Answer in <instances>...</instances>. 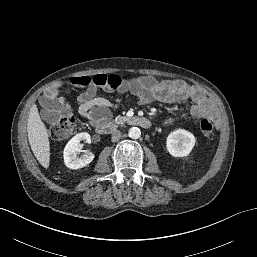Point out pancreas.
I'll list each match as a JSON object with an SVG mask.
<instances>
[{"label": "pancreas", "instance_id": "cf45deb5", "mask_svg": "<svg viewBox=\"0 0 257 257\" xmlns=\"http://www.w3.org/2000/svg\"><path fill=\"white\" fill-rule=\"evenodd\" d=\"M126 119H127V118H126L125 116H118V117H116L115 122H116L117 124H121V123H123Z\"/></svg>", "mask_w": 257, "mask_h": 257}]
</instances>
